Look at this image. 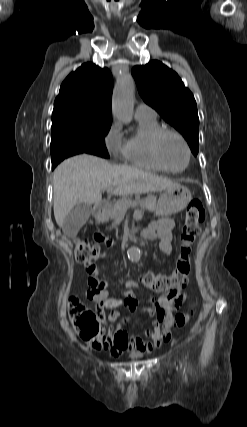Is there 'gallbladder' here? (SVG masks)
I'll return each instance as SVG.
<instances>
[{
    "instance_id": "bac80fb5",
    "label": "gallbladder",
    "mask_w": 247,
    "mask_h": 427,
    "mask_svg": "<svg viewBox=\"0 0 247 427\" xmlns=\"http://www.w3.org/2000/svg\"><path fill=\"white\" fill-rule=\"evenodd\" d=\"M92 207L87 203L77 204L64 219L62 229L66 236L75 237L91 215Z\"/></svg>"
}]
</instances>
